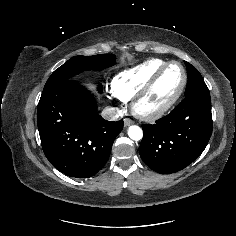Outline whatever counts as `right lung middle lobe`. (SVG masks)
Wrapping results in <instances>:
<instances>
[{"label": "right lung middle lobe", "mask_w": 236, "mask_h": 236, "mask_svg": "<svg viewBox=\"0 0 236 236\" xmlns=\"http://www.w3.org/2000/svg\"><path fill=\"white\" fill-rule=\"evenodd\" d=\"M116 62L113 54L94 56H75L56 69L47 80L44 89L57 85L84 70H102L114 65ZM102 91V85L98 87Z\"/></svg>", "instance_id": "right-lung-middle-lobe-1"}]
</instances>
